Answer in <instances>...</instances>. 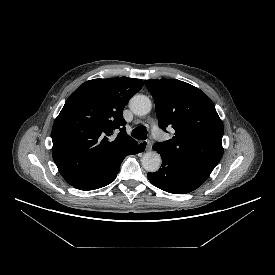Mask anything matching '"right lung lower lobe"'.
Wrapping results in <instances>:
<instances>
[{
	"instance_id": "98d812e1",
	"label": "right lung lower lobe",
	"mask_w": 275,
	"mask_h": 275,
	"mask_svg": "<svg viewBox=\"0 0 275 275\" xmlns=\"http://www.w3.org/2000/svg\"><path fill=\"white\" fill-rule=\"evenodd\" d=\"M145 147H146L145 142L140 145H137L128 155L140 153L144 151ZM121 162L122 160L103 174H100L88 180L76 183L72 186L79 190H84V191L94 190V189L104 187L115 180L120 170Z\"/></svg>"
}]
</instances>
